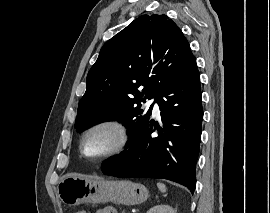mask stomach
<instances>
[{"label":"stomach","instance_id":"0dacf381","mask_svg":"<svg viewBox=\"0 0 270 213\" xmlns=\"http://www.w3.org/2000/svg\"><path fill=\"white\" fill-rule=\"evenodd\" d=\"M60 200L67 205L119 202L136 205L147 200V188L128 180H107L79 174L65 175L57 186Z\"/></svg>","mask_w":270,"mask_h":213}]
</instances>
